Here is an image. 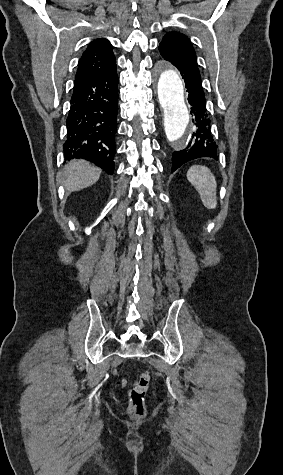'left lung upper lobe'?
I'll list each match as a JSON object with an SVG mask.
<instances>
[{
	"label": "left lung upper lobe",
	"mask_w": 283,
	"mask_h": 475,
	"mask_svg": "<svg viewBox=\"0 0 283 475\" xmlns=\"http://www.w3.org/2000/svg\"><path fill=\"white\" fill-rule=\"evenodd\" d=\"M159 50L162 57L173 65L187 63L198 66L189 38L180 32L173 31L166 34L159 45Z\"/></svg>",
	"instance_id": "obj_1"
}]
</instances>
